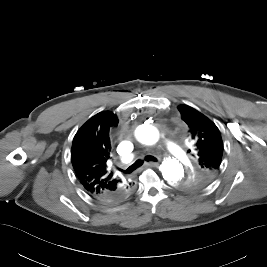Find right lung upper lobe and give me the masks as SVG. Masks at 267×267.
Segmentation results:
<instances>
[{"label": "right lung upper lobe", "instance_id": "right-lung-upper-lobe-1", "mask_svg": "<svg viewBox=\"0 0 267 267\" xmlns=\"http://www.w3.org/2000/svg\"><path fill=\"white\" fill-rule=\"evenodd\" d=\"M118 124L116 115L105 111L91 117L76 133L71 161L76 176L87 193L104 197L118 192L127 182L108 170L111 145L109 130Z\"/></svg>", "mask_w": 267, "mask_h": 267}]
</instances>
